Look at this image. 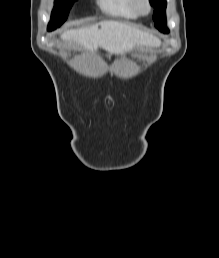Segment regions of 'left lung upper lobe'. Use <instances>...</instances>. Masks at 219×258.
<instances>
[{
	"mask_svg": "<svg viewBox=\"0 0 219 258\" xmlns=\"http://www.w3.org/2000/svg\"><path fill=\"white\" fill-rule=\"evenodd\" d=\"M154 7L153 19L155 21V27L163 33H168L169 30L166 26V0H149Z\"/></svg>",
	"mask_w": 219,
	"mask_h": 258,
	"instance_id": "left-lung-upper-lobe-1",
	"label": "left lung upper lobe"
}]
</instances>
